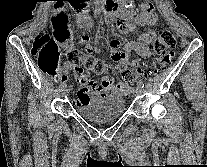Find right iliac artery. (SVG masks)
Masks as SVG:
<instances>
[{
    "mask_svg": "<svg viewBox=\"0 0 207 167\" xmlns=\"http://www.w3.org/2000/svg\"><path fill=\"white\" fill-rule=\"evenodd\" d=\"M65 88H66V84L61 83L60 86H59V89H60L61 91H63Z\"/></svg>",
    "mask_w": 207,
    "mask_h": 167,
    "instance_id": "obj_1",
    "label": "right iliac artery"
}]
</instances>
